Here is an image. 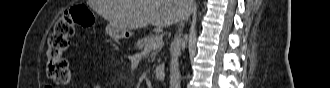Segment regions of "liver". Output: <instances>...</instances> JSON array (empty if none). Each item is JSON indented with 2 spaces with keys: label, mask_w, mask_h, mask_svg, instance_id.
Masks as SVG:
<instances>
[{
  "label": "liver",
  "mask_w": 330,
  "mask_h": 88,
  "mask_svg": "<svg viewBox=\"0 0 330 88\" xmlns=\"http://www.w3.org/2000/svg\"><path fill=\"white\" fill-rule=\"evenodd\" d=\"M193 0H98L97 12L111 26L121 30L139 29L152 24L168 27L177 23Z\"/></svg>",
  "instance_id": "1"
}]
</instances>
